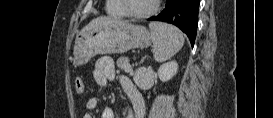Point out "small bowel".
Masks as SVG:
<instances>
[{"label":"small bowel","instance_id":"1","mask_svg":"<svg viewBox=\"0 0 273 118\" xmlns=\"http://www.w3.org/2000/svg\"><path fill=\"white\" fill-rule=\"evenodd\" d=\"M93 79L99 86H104L108 81L117 80L120 87L127 95L130 101V107L126 113V118H143L144 117V100L134 85V83L124 75L116 73L115 65L110 57L103 56L95 61L93 68ZM98 106V99L91 97L86 102L88 111L95 110ZM84 118H92L90 113H86ZM102 118H115V113L112 108L106 107L103 110Z\"/></svg>","mask_w":273,"mask_h":118}]
</instances>
